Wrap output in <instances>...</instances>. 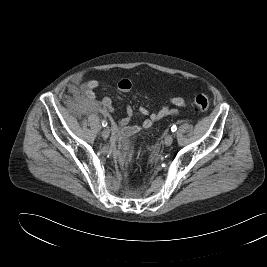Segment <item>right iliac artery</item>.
Returning <instances> with one entry per match:
<instances>
[{"instance_id": "82829eb1", "label": "right iliac artery", "mask_w": 267, "mask_h": 267, "mask_svg": "<svg viewBox=\"0 0 267 267\" xmlns=\"http://www.w3.org/2000/svg\"><path fill=\"white\" fill-rule=\"evenodd\" d=\"M107 124H108V123H107V121H106V120H103V121H102V126H103V127H106V126H107Z\"/></svg>"}]
</instances>
